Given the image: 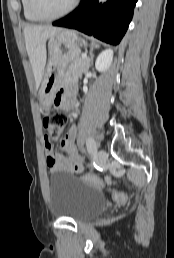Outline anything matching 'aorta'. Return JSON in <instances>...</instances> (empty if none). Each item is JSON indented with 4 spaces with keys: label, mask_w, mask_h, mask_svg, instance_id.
Listing matches in <instances>:
<instances>
[{
    "label": "aorta",
    "mask_w": 174,
    "mask_h": 258,
    "mask_svg": "<svg viewBox=\"0 0 174 258\" xmlns=\"http://www.w3.org/2000/svg\"><path fill=\"white\" fill-rule=\"evenodd\" d=\"M106 1H107V0H99V2H102V3H103V2H106Z\"/></svg>",
    "instance_id": "762f6f07"
}]
</instances>
